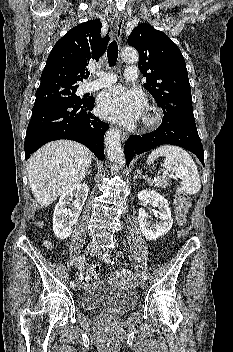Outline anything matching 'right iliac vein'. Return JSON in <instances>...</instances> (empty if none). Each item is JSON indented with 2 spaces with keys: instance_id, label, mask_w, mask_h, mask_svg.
Returning a JSON list of instances; mask_svg holds the SVG:
<instances>
[{
  "instance_id": "right-iliac-vein-1",
  "label": "right iliac vein",
  "mask_w": 233,
  "mask_h": 352,
  "mask_svg": "<svg viewBox=\"0 0 233 352\" xmlns=\"http://www.w3.org/2000/svg\"><path fill=\"white\" fill-rule=\"evenodd\" d=\"M96 248H97V247H95L94 245L89 244V245H87L86 248H85V253H86V254L94 253L95 250H96ZM80 287H81V284H80V283H77V284L74 286V289H75V290H79Z\"/></svg>"
}]
</instances>
